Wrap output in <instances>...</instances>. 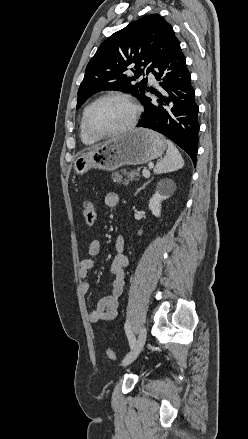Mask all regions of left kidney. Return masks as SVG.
Listing matches in <instances>:
<instances>
[{"label": "left kidney", "instance_id": "obj_1", "mask_svg": "<svg viewBox=\"0 0 248 439\" xmlns=\"http://www.w3.org/2000/svg\"><path fill=\"white\" fill-rule=\"evenodd\" d=\"M174 192V183L171 180H162L157 184L156 192L149 201V209L154 216L160 217L161 203Z\"/></svg>", "mask_w": 248, "mask_h": 439}]
</instances>
